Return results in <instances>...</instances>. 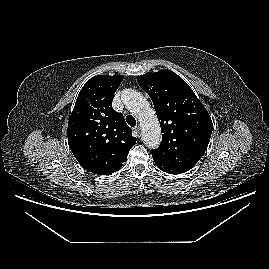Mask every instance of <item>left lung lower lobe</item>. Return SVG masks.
Instances as JSON below:
<instances>
[{
	"mask_svg": "<svg viewBox=\"0 0 269 269\" xmlns=\"http://www.w3.org/2000/svg\"><path fill=\"white\" fill-rule=\"evenodd\" d=\"M155 164L157 165V167L166 172V173H170V174H181V173H184V172H187L188 168H179V167H173V166H169V165H166L158 160H155Z\"/></svg>",
	"mask_w": 269,
	"mask_h": 269,
	"instance_id": "1",
	"label": "left lung lower lobe"
}]
</instances>
